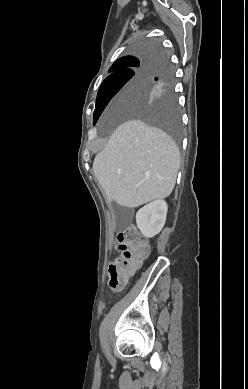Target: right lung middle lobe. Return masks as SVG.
<instances>
[{
  "mask_svg": "<svg viewBox=\"0 0 248 389\" xmlns=\"http://www.w3.org/2000/svg\"><path fill=\"white\" fill-rule=\"evenodd\" d=\"M154 49L159 48L154 44L146 45L142 56L145 57ZM154 77L155 81H153ZM128 82L134 86L150 83L147 86L146 99L133 102L128 106L129 115L164 130L179 143L181 141L180 115L173 94V70L164 53L159 55L154 67L133 64L109 75L101 84L97 94L93 124H96L109 101Z\"/></svg>",
  "mask_w": 248,
  "mask_h": 389,
  "instance_id": "right-lung-middle-lobe-1",
  "label": "right lung middle lobe"
}]
</instances>
